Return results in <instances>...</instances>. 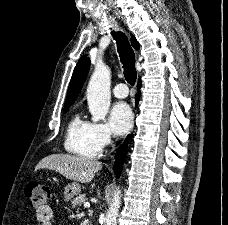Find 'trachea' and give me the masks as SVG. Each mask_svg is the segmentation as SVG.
Listing matches in <instances>:
<instances>
[{
	"mask_svg": "<svg viewBox=\"0 0 228 225\" xmlns=\"http://www.w3.org/2000/svg\"><path fill=\"white\" fill-rule=\"evenodd\" d=\"M113 37L117 43L118 53L123 64L126 81L133 86L137 78V72L135 69V54L124 33L116 32L113 34Z\"/></svg>",
	"mask_w": 228,
	"mask_h": 225,
	"instance_id": "obj_1",
	"label": "trachea"
}]
</instances>
